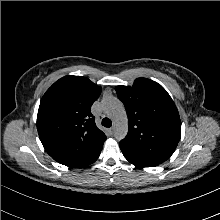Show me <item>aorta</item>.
Instances as JSON below:
<instances>
[{
    "instance_id": "1",
    "label": "aorta",
    "mask_w": 220,
    "mask_h": 220,
    "mask_svg": "<svg viewBox=\"0 0 220 220\" xmlns=\"http://www.w3.org/2000/svg\"><path fill=\"white\" fill-rule=\"evenodd\" d=\"M104 111L113 120V131L116 139L125 138L128 132L127 114L123 104L115 97H106L102 101Z\"/></svg>"
}]
</instances>
